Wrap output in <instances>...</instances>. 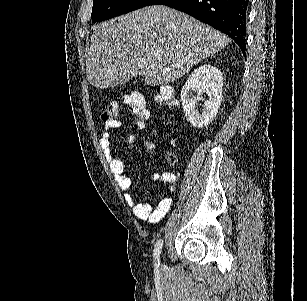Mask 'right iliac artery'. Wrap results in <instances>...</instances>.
Listing matches in <instances>:
<instances>
[{
  "mask_svg": "<svg viewBox=\"0 0 307 301\" xmlns=\"http://www.w3.org/2000/svg\"><path fill=\"white\" fill-rule=\"evenodd\" d=\"M162 246H163V240L160 239L157 241L154 249V259H155L156 268H159L160 266V253Z\"/></svg>",
  "mask_w": 307,
  "mask_h": 301,
  "instance_id": "1",
  "label": "right iliac artery"
}]
</instances>
